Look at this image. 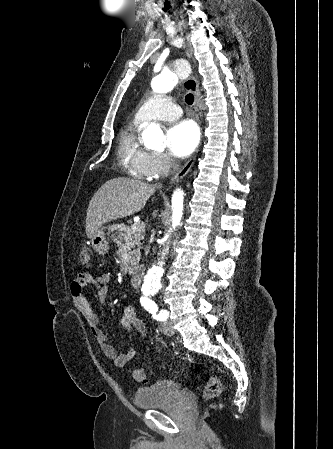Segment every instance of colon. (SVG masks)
<instances>
[{
    "instance_id": "5ec220e1",
    "label": "colon",
    "mask_w": 333,
    "mask_h": 449,
    "mask_svg": "<svg viewBox=\"0 0 333 449\" xmlns=\"http://www.w3.org/2000/svg\"><path fill=\"white\" fill-rule=\"evenodd\" d=\"M91 254L87 247L81 249L79 253V260L82 265H88L90 262ZM133 377L137 381L145 380V372L142 369H136L133 373ZM204 398L206 400H212L219 396L221 393V382L215 376H210L204 387Z\"/></svg>"
}]
</instances>
